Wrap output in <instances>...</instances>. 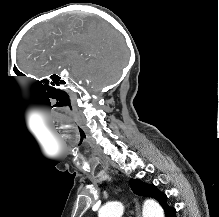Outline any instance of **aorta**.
I'll return each mask as SVG.
<instances>
[{
  "mask_svg": "<svg viewBox=\"0 0 219 217\" xmlns=\"http://www.w3.org/2000/svg\"><path fill=\"white\" fill-rule=\"evenodd\" d=\"M122 214V204L119 202H112L106 204L99 210L98 217H122ZM142 214L143 217H164L162 207L153 200L145 201Z\"/></svg>",
  "mask_w": 219,
  "mask_h": 217,
  "instance_id": "762f6f07",
  "label": "aorta"
}]
</instances>
